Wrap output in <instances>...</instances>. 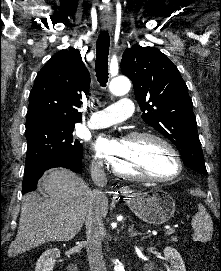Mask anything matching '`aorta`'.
Wrapping results in <instances>:
<instances>
[{
    "label": "aorta",
    "instance_id": "obj_1",
    "mask_svg": "<svg viewBox=\"0 0 221 271\" xmlns=\"http://www.w3.org/2000/svg\"><path fill=\"white\" fill-rule=\"evenodd\" d=\"M131 83L128 78L120 76L111 80L109 84V91L115 96H121L130 90ZM115 264L114 271H125L123 265L118 261H113Z\"/></svg>",
    "mask_w": 221,
    "mask_h": 271
}]
</instances>
